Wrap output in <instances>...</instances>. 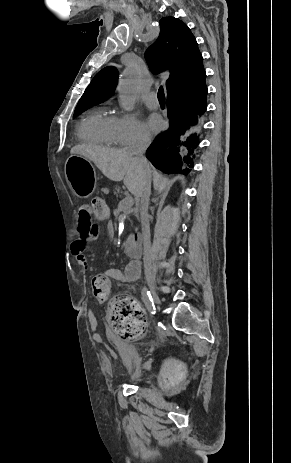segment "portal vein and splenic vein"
Returning a JSON list of instances; mask_svg holds the SVG:
<instances>
[{
	"mask_svg": "<svg viewBox=\"0 0 291 463\" xmlns=\"http://www.w3.org/2000/svg\"><path fill=\"white\" fill-rule=\"evenodd\" d=\"M132 205H133V198L130 196H126L124 199H122L119 202L118 208L120 210H128L131 208Z\"/></svg>",
	"mask_w": 291,
	"mask_h": 463,
	"instance_id": "obj_1",
	"label": "portal vein and splenic vein"
}]
</instances>
